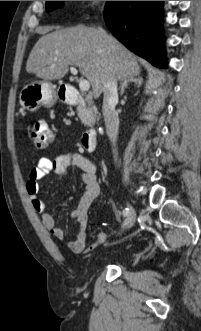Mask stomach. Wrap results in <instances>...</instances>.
Listing matches in <instances>:
<instances>
[{
    "mask_svg": "<svg viewBox=\"0 0 201 331\" xmlns=\"http://www.w3.org/2000/svg\"><path fill=\"white\" fill-rule=\"evenodd\" d=\"M56 100L55 91L48 81H33L25 85L19 95L20 105L30 111L34 112L40 107L50 108L54 105Z\"/></svg>",
    "mask_w": 201,
    "mask_h": 331,
    "instance_id": "stomach-1",
    "label": "stomach"
}]
</instances>
